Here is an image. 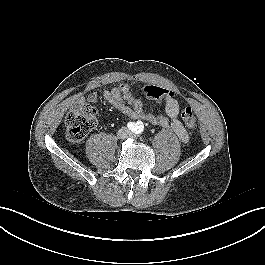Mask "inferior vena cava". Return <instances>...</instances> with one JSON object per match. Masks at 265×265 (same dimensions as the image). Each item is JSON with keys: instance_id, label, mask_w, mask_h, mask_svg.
Listing matches in <instances>:
<instances>
[{"instance_id": "602c4592", "label": "inferior vena cava", "mask_w": 265, "mask_h": 265, "mask_svg": "<svg viewBox=\"0 0 265 265\" xmlns=\"http://www.w3.org/2000/svg\"><path fill=\"white\" fill-rule=\"evenodd\" d=\"M131 135V131H129L128 129L124 128L120 131V133H118V137L119 138H126L129 137Z\"/></svg>"}]
</instances>
